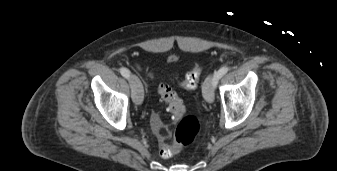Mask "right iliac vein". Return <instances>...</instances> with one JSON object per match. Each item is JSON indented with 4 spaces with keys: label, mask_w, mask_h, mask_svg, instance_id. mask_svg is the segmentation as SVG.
<instances>
[{
    "label": "right iliac vein",
    "mask_w": 337,
    "mask_h": 171,
    "mask_svg": "<svg viewBox=\"0 0 337 171\" xmlns=\"http://www.w3.org/2000/svg\"><path fill=\"white\" fill-rule=\"evenodd\" d=\"M129 83L131 86L132 100L135 104L141 105L143 102V88L140 80L135 75L129 76Z\"/></svg>",
    "instance_id": "right-iliac-vein-1"
}]
</instances>
